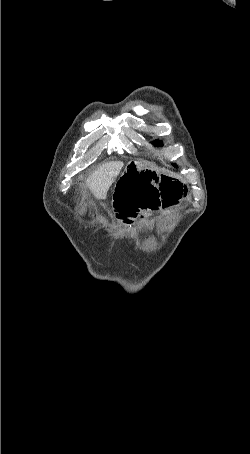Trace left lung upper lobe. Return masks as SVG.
Wrapping results in <instances>:
<instances>
[{"mask_svg":"<svg viewBox=\"0 0 250 454\" xmlns=\"http://www.w3.org/2000/svg\"><path fill=\"white\" fill-rule=\"evenodd\" d=\"M153 144H154L155 146H162L161 141H158V140L154 141Z\"/></svg>","mask_w":250,"mask_h":454,"instance_id":"left-lung-upper-lobe-1","label":"left lung upper lobe"}]
</instances>
